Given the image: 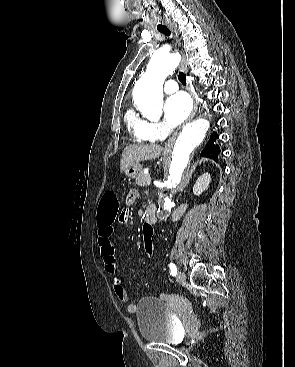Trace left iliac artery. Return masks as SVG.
Instances as JSON below:
<instances>
[{"label":"left iliac artery","instance_id":"44dca946","mask_svg":"<svg viewBox=\"0 0 295 367\" xmlns=\"http://www.w3.org/2000/svg\"><path fill=\"white\" fill-rule=\"evenodd\" d=\"M170 274L175 276L177 274V267L174 263H169Z\"/></svg>","mask_w":295,"mask_h":367}]
</instances>
